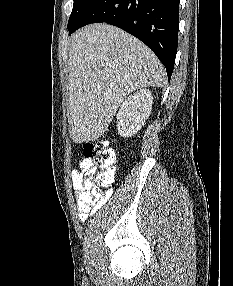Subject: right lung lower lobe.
I'll return each mask as SVG.
<instances>
[{
    "instance_id": "obj_1",
    "label": "right lung lower lobe",
    "mask_w": 233,
    "mask_h": 286,
    "mask_svg": "<svg viewBox=\"0 0 233 286\" xmlns=\"http://www.w3.org/2000/svg\"><path fill=\"white\" fill-rule=\"evenodd\" d=\"M96 22L117 26L144 42L170 79L178 45L179 0H91L69 34Z\"/></svg>"
}]
</instances>
